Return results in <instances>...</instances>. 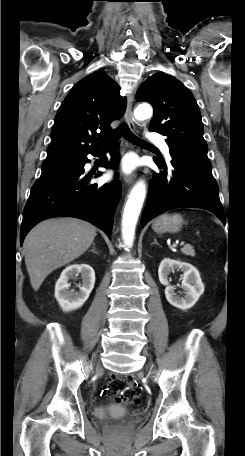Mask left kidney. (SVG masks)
<instances>
[{"label":"left kidney","mask_w":245,"mask_h":456,"mask_svg":"<svg viewBox=\"0 0 245 456\" xmlns=\"http://www.w3.org/2000/svg\"><path fill=\"white\" fill-rule=\"evenodd\" d=\"M174 269L183 271L182 288L185 291L184 298L175 293V288L169 284L168 276ZM159 281L166 286L165 296L167 301L176 308L186 310L195 305L204 292L199 271L189 263L165 258L161 261L158 269Z\"/></svg>","instance_id":"left-kidney-1"}]
</instances>
